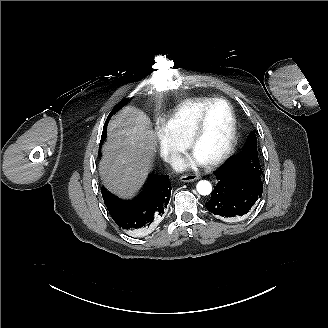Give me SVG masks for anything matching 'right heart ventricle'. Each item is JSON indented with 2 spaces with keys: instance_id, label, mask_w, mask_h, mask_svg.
<instances>
[{
  "instance_id": "right-heart-ventricle-1",
  "label": "right heart ventricle",
  "mask_w": 328,
  "mask_h": 328,
  "mask_svg": "<svg viewBox=\"0 0 328 328\" xmlns=\"http://www.w3.org/2000/svg\"><path fill=\"white\" fill-rule=\"evenodd\" d=\"M212 99V97L187 99L174 108L156 115V123L162 127L170 139L186 145L187 137L197 115Z\"/></svg>"
}]
</instances>
